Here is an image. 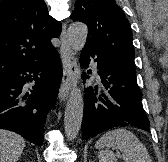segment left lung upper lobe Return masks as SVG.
<instances>
[{"mask_svg":"<svg viewBox=\"0 0 168 162\" xmlns=\"http://www.w3.org/2000/svg\"><path fill=\"white\" fill-rule=\"evenodd\" d=\"M70 18L87 24L85 47L93 48L114 62L136 71L132 30L115 0H78Z\"/></svg>","mask_w":168,"mask_h":162,"instance_id":"1","label":"left lung upper lobe"}]
</instances>
